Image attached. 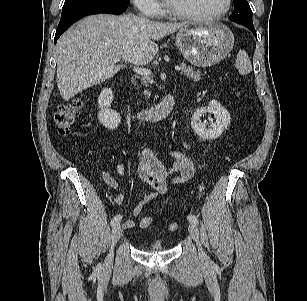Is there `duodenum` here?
Segmentation results:
<instances>
[{
  "label": "duodenum",
  "instance_id": "410a0bca",
  "mask_svg": "<svg viewBox=\"0 0 307 301\" xmlns=\"http://www.w3.org/2000/svg\"><path fill=\"white\" fill-rule=\"evenodd\" d=\"M175 99L172 94H168L158 105L150 108L138 107V114L143 119L150 122H161L172 112Z\"/></svg>",
  "mask_w": 307,
  "mask_h": 301
}]
</instances>
